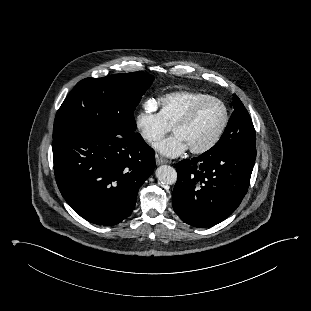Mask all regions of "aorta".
Returning a JSON list of instances; mask_svg holds the SVG:
<instances>
[{
    "mask_svg": "<svg viewBox=\"0 0 311 311\" xmlns=\"http://www.w3.org/2000/svg\"><path fill=\"white\" fill-rule=\"evenodd\" d=\"M156 177L161 183L172 185L177 180V172L169 165H161L156 170Z\"/></svg>",
    "mask_w": 311,
    "mask_h": 311,
    "instance_id": "1",
    "label": "aorta"
}]
</instances>
